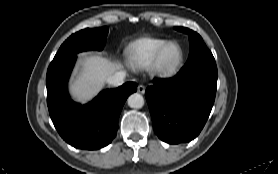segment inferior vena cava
I'll return each instance as SVG.
<instances>
[{
  "mask_svg": "<svg viewBox=\"0 0 278 174\" xmlns=\"http://www.w3.org/2000/svg\"><path fill=\"white\" fill-rule=\"evenodd\" d=\"M126 73L124 71H118L112 76L108 77L107 83L113 86H120L124 83Z\"/></svg>",
  "mask_w": 278,
  "mask_h": 174,
  "instance_id": "1",
  "label": "inferior vena cava"
}]
</instances>
